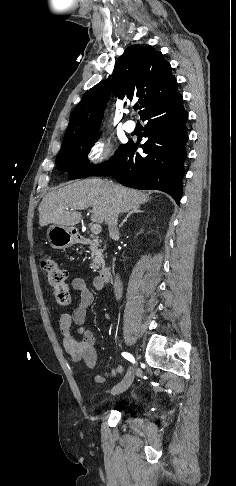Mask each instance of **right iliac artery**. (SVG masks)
<instances>
[{"label":"right iliac artery","mask_w":236,"mask_h":486,"mask_svg":"<svg viewBox=\"0 0 236 486\" xmlns=\"http://www.w3.org/2000/svg\"><path fill=\"white\" fill-rule=\"evenodd\" d=\"M122 356H123L125 359L129 360L130 362L135 363V359H134V357H133V356H132L130 353L123 352V353H122Z\"/></svg>","instance_id":"82829eb1"}]
</instances>
